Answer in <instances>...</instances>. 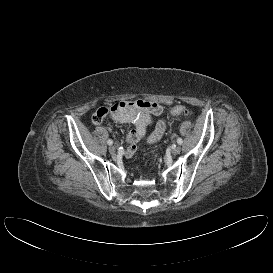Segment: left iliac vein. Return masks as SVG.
<instances>
[{"instance_id": "left-iliac-vein-1", "label": "left iliac vein", "mask_w": 273, "mask_h": 273, "mask_svg": "<svg viewBox=\"0 0 273 273\" xmlns=\"http://www.w3.org/2000/svg\"><path fill=\"white\" fill-rule=\"evenodd\" d=\"M181 152V147L179 145L177 146H174L173 150H172V153L173 155H177Z\"/></svg>"}]
</instances>
